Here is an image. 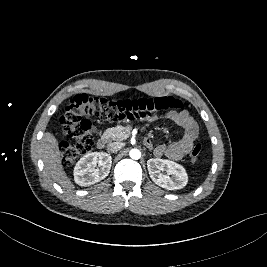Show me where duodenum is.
Masks as SVG:
<instances>
[{
    "mask_svg": "<svg viewBox=\"0 0 267 267\" xmlns=\"http://www.w3.org/2000/svg\"><path fill=\"white\" fill-rule=\"evenodd\" d=\"M107 142H108V140H107L106 137L99 138L98 141H97L98 149H104L106 147V145H107Z\"/></svg>",
    "mask_w": 267,
    "mask_h": 267,
    "instance_id": "duodenum-1",
    "label": "duodenum"
}]
</instances>
